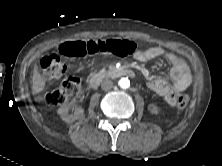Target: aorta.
Wrapping results in <instances>:
<instances>
[{"label": "aorta", "instance_id": "obj_1", "mask_svg": "<svg viewBox=\"0 0 222 166\" xmlns=\"http://www.w3.org/2000/svg\"><path fill=\"white\" fill-rule=\"evenodd\" d=\"M119 86L123 89H126L130 86V81L128 80V78H121L119 80Z\"/></svg>", "mask_w": 222, "mask_h": 166}]
</instances>
